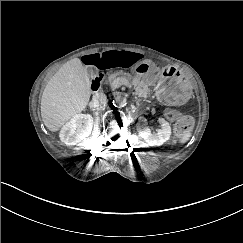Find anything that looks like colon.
Masks as SVG:
<instances>
[{
	"instance_id": "5ec220e1",
	"label": "colon",
	"mask_w": 243,
	"mask_h": 243,
	"mask_svg": "<svg viewBox=\"0 0 243 243\" xmlns=\"http://www.w3.org/2000/svg\"><path fill=\"white\" fill-rule=\"evenodd\" d=\"M164 114L168 120L176 121L174 131L178 137L184 135L192 126V120L189 117H183L182 113L174 107L166 108Z\"/></svg>"
}]
</instances>
